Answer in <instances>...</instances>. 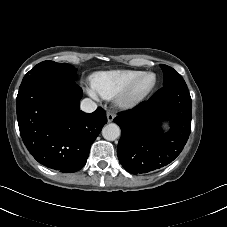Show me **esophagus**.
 <instances>
[{
	"mask_svg": "<svg viewBox=\"0 0 227 227\" xmlns=\"http://www.w3.org/2000/svg\"><path fill=\"white\" fill-rule=\"evenodd\" d=\"M114 118H115V114L113 112H111V111H108L107 112V120H108V122H112L114 120Z\"/></svg>",
	"mask_w": 227,
	"mask_h": 227,
	"instance_id": "1",
	"label": "esophagus"
}]
</instances>
